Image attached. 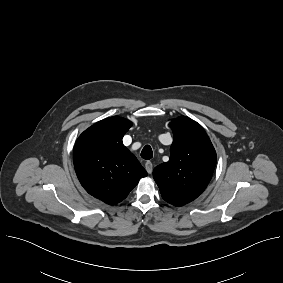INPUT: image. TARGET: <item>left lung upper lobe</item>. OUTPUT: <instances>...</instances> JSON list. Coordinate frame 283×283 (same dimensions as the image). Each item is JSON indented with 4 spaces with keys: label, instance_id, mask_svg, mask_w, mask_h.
I'll return each mask as SVG.
<instances>
[{
    "label": "left lung upper lobe",
    "instance_id": "5c2ea615",
    "mask_svg": "<svg viewBox=\"0 0 283 283\" xmlns=\"http://www.w3.org/2000/svg\"><path fill=\"white\" fill-rule=\"evenodd\" d=\"M170 125L174 135L170 159L155 167L153 177L166 202L183 206L205 190L217 156L206 132L196 121L181 116Z\"/></svg>",
    "mask_w": 283,
    "mask_h": 283
}]
</instances>
